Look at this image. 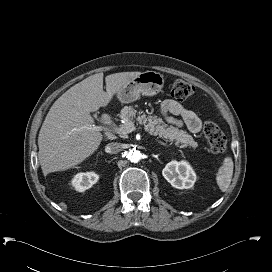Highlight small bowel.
Masks as SVG:
<instances>
[{
    "mask_svg": "<svg viewBox=\"0 0 272 272\" xmlns=\"http://www.w3.org/2000/svg\"><path fill=\"white\" fill-rule=\"evenodd\" d=\"M161 111L169 123L177 126L185 125L191 132L194 133L200 131L201 129L202 121L199 116L193 111L185 109L181 104L174 100H165L162 103Z\"/></svg>",
    "mask_w": 272,
    "mask_h": 272,
    "instance_id": "c3829d8e",
    "label": "small bowel"
}]
</instances>
